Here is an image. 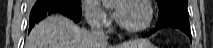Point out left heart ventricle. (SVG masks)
Listing matches in <instances>:
<instances>
[{
    "mask_svg": "<svg viewBox=\"0 0 213 48\" xmlns=\"http://www.w3.org/2000/svg\"><path fill=\"white\" fill-rule=\"evenodd\" d=\"M121 21L130 28L142 26L147 19L146 9L137 3H123Z\"/></svg>",
    "mask_w": 213,
    "mask_h": 48,
    "instance_id": "1",
    "label": "left heart ventricle"
}]
</instances>
